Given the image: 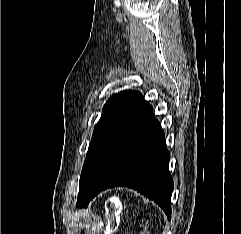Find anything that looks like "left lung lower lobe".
Listing matches in <instances>:
<instances>
[{
  "instance_id": "obj_1",
  "label": "left lung lower lobe",
  "mask_w": 241,
  "mask_h": 234,
  "mask_svg": "<svg viewBox=\"0 0 241 234\" xmlns=\"http://www.w3.org/2000/svg\"><path fill=\"white\" fill-rule=\"evenodd\" d=\"M152 111L143 99L128 117L93 177L82 206H87L102 190L126 186L154 200L171 218L170 153Z\"/></svg>"
}]
</instances>
